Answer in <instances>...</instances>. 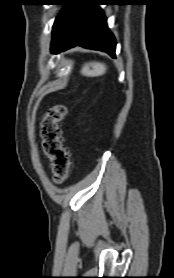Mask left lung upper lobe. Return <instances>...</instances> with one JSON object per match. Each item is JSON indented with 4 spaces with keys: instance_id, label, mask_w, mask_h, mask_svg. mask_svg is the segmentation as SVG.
I'll return each instance as SVG.
<instances>
[{
    "instance_id": "5c2ea615",
    "label": "left lung upper lobe",
    "mask_w": 174,
    "mask_h": 278,
    "mask_svg": "<svg viewBox=\"0 0 174 278\" xmlns=\"http://www.w3.org/2000/svg\"><path fill=\"white\" fill-rule=\"evenodd\" d=\"M59 5H65L58 14L53 25L51 48L56 46L67 35L73 15L78 8V0H56Z\"/></svg>"
}]
</instances>
